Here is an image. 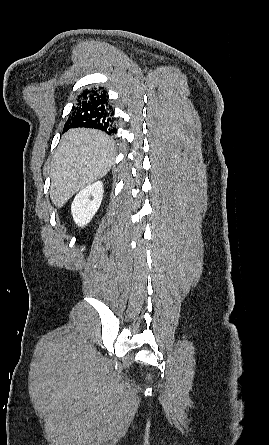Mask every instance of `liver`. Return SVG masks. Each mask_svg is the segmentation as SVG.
Returning <instances> with one entry per match:
<instances>
[{
    "label": "liver",
    "instance_id": "6515ba94",
    "mask_svg": "<svg viewBox=\"0 0 269 445\" xmlns=\"http://www.w3.org/2000/svg\"><path fill=\"white\" fill-rule=\"evenodd\" d=\"M114 160V142L104 132L85 128L68 131L51 163L53 204L61 208L77 192L105 176Z\"/></svg>",
    "mask_w": 269,
    "mask_h": 445
}]
</instances>
